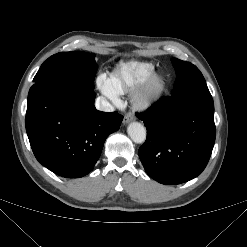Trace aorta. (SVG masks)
Segmentation results:
<instances>
[{"label": "aorta", "mask_w": 247, "mask_h": 247, "mask_svg": "<svg viewBox=\"0 0 247 247\" xmlns=\"http://www.w3.org/2000/svg\"><path fill=\"white\" fill-rule=\"evenodd\" d=\"M127 132L132 141L137 144H141L146 140V129L139 122L130 123L128 125Z\"/></svg>", "instance_id": "aorta-1"}]
</instances>
